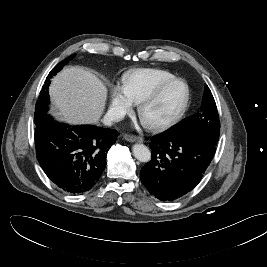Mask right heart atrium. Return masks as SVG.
Listing matches in <instances>:
<instances>
[{
  "mask_svg": "<svg viewBox=\"0 0 267 267\" xmlns=\"http://www.w3.org/2000/svg\"><path fill=\"white\" fill-rule=\"evenodd\" d=\"M133 104L127 97L123 86L115 85L111 90V105L109 115L113 118H117L128 113Z\"/></svg>",
  "mask_w": 267,
  "mask_h": 267,
  "instance_id": "obj_1",
  "label": "right heart atrium"
}]
</instances>
